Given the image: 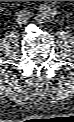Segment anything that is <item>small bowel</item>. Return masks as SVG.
Instances as JSON below:
<instances>
[{"mask_svg": "<svg viewBox=\"0 0 74 122\" xmlns=\"http://www.w3.org/2000/svg\"><path fill=\"white\" fill-rule=\"evenodd\" d=\"M41 12L45 15L50 16L54 12V5L51 3H48L41 7Z\"/></svg>", "mask_w": 74, "mask_h": 122, "instance_id": "obj_1", "label": "small bowel"}]
</instances>
